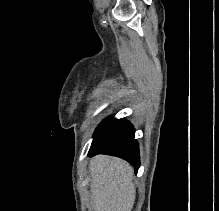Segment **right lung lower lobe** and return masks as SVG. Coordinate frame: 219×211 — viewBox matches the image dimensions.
<instances>
[{
	"mask_svg": "<svg viewBox=\"0 0 219 211\" xmlns=\"http://www.w3.org/2000/svg\"><path fill=\"white\" fill-rule=\"evenodd\" d=\"M134 128L125 119L109 117L96 129L89 156L108 154L127 160L137 172L139 161V147L134 139Z\"/></svg>",
	"mask_w": 219,
	"mask_h": 211,
	"instance_id": "obj_1",
	"label": "right lung lower lobe"
}]
</instances>
